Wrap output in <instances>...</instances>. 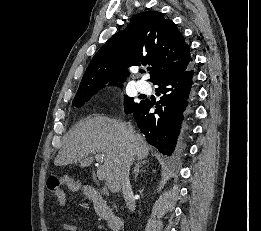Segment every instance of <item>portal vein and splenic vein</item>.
<instances>
[{
	"label": "portal vein and splenic vein",
	"mask_w": 261,
	"mask_h": 231,
	"mask_svg": "<svg viewBox=\"0 0 261 231\" xmlns=\"http://www.w3.org/2000/svg\"><path fill=\"white\" fill-rule=\"evenodd\" d=\"M96 158V161L99 162V163H103V155H101L100 153L96 154L95 156ZM97 177L99 180L103 181L105 179V169H104V165H100L98 167V170H97Z\"/></svg>",
	"instance_id": "1"
}]
</instances>
